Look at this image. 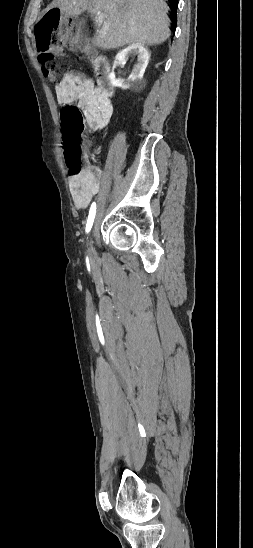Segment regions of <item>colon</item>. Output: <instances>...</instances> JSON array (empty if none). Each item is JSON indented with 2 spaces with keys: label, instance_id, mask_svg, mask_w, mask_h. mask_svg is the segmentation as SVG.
<instances>
[{
  "label": "colon",
  "instance_id": "1",
  "mask_svg": "<svg viewBox=\"0 0 253 548\" xmlns=\"http://www.w3.org/2000/svg\"><path fill=\"white\" fill-rule=\"evenodd\" d=\"M67 28L62 26L59 10H50L35 26L37 47L40 52L42 71L51 83L59 85L68 65L56 59L64 45ZM63 119V142L65 160L70 177L78 176L84 170L82 137L84 131L83 116L75 105H67L61 112Z\"/></svg>",
  "mask_w": 253,
  "mask_h": 548
}]
</instances>
